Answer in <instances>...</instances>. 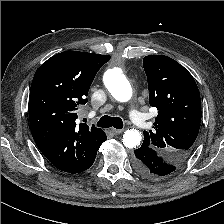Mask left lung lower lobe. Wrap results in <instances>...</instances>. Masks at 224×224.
Wrapping results in <instances>:
<instances>
[{
	"instance_id": "obj_1",
	"label": "left lung lower lobe",
	"mask_w": 224,
	"mask_h": 224,
	"mask_svg": "<svg viewBox=\"0 0 224 224\" xmlns=\"http://www.w3.org/2000/svg\"><path fill=\"white\" fill-rule=\"evenodd\" d=\"M134 152L133 165L136 171L145 178L157 180L158 177L174 171V167L152 148L142 145Z\"/></svg>"
}]
</instances>
